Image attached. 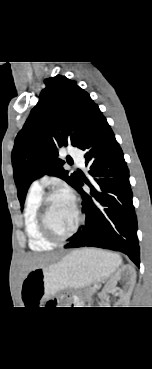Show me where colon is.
I'll list each match as a JSON object with an SVG mask.
<instances>
[{
  "instance_id": "5ec220e1",
  "label": "colon",
  "mask_w": 152,
  "mask_h": 369,
  "mask_svg": "<svg viewBox=\"0 0 152 369\" xmlns=\"http://www.w3.org/2000/svg\"><path fill=\"white\" fill-rule=\"evenodd\" d=\"M66 297H64V296H60L59 298H58V302H66Z\"/></svg>"
}]
</instances>
